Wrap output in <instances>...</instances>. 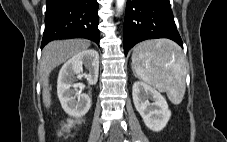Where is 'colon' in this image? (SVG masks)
Segmentation results:
<instances>
[{"instance_id":"colon-1","label":"colon","mask_w":227,"mask_h":142,"mask_svg":"<svg viewBox=\"0 0 227 142\" xmlns=\"http://www.w3.org/2000/svg\"><path fill=\"white\" fill-rule=\"evenodd\" d=\"M72 125H73L72 121H69V122L63 124V125H62V128H61V131H62V132H67V131H69V130L71 129Z\"/></svg>"}]
</instances>
